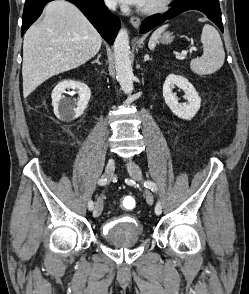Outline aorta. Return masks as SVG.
<instances>
[{"mask_svg": "<svg viewBox=\"0 0 249 294\" xmlns=\"http://www.w3.org/2000/svg\"><path fill=\"white\" fill-rule=\"evenodd\" d=\"M114 59L116 68V78L120 84L121 89L127 93H132L133 86V71L130 59V45L129 37L126 29L122 28L118 32L114 44Z\"/></svg>", "mask_w": 249, "mask_h": 294, "instance_id": "aorta-1", "label": "aorta"}]
</instances>
